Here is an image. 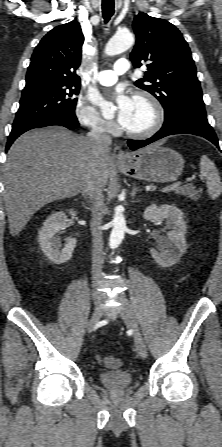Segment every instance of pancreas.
I'll list each match as a JSON object with an SVG mask.
<instances>
[{
  "instance_id": "obj_1",
  "label": "pancreas",
  "mask_w": 222,
  "mask_h": 447,
  "mask_svg": "<svg viewBox=\"0 0 222 447\" xmlns=\"http://www.w3.org/2000/svg\"><path fill=\"white\" fill-rule=\"evenodd\" d=\"M200 192H201L200 190H196L194 186L189 184L175 189L176 194L186 196L192 200H198L200 197L199 195Z\"/></svg>"
}]
</instances>
